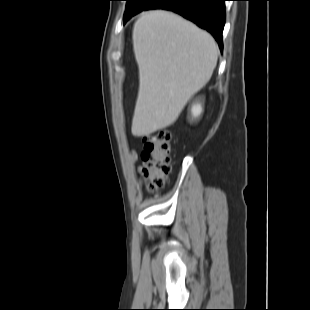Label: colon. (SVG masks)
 I'll return each mask as SVG.
<instances>
[{"instance_id": "1", "label": "colon", "mask_w": 310, "mask_h": 310, "mask_svg": "<svg viewBox=\"0 0 310 310\" xmlns=\"http://www.w3.org/2000/svg\"><path fill=\"white\" fill-rule=\"evenodd\" d=\"M170 132L160 130L143 137L140 170L145 187L150 192L160 190L170 172Z\"/></svg>"}]
</instances>
